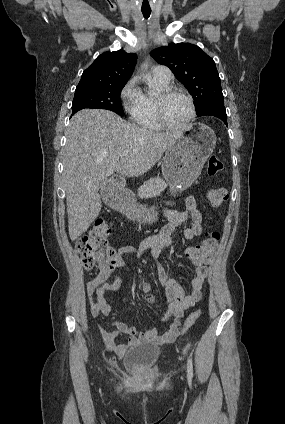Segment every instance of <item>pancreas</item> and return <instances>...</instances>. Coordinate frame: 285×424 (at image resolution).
I'll use <instances>...</instances> for the list:
<instances>
[{"mask_svg": "<svg viewBox=\"0 0 285 424\" xmlns=\"http://www.w3.org/2000/svg\"><path fill=\"white\" fill-rule=\"evenodd\" d=\"M167 187V183L160 177H154L141 185L137 191L140 199H148L159 196Z\"/></svg>", "mask_w": 285, "mask_h": 424, "instance_id": "obj_1", "label": "pancreas"}]
</instances>
